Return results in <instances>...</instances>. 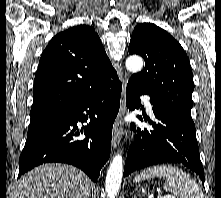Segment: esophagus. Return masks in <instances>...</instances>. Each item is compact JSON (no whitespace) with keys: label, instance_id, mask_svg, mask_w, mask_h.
<instances>
[{"label":"esophagus","instance_id":"obj_1","mask_svg":"<svg viewBox=\"0 0 221 198\" xmlns=\"http://www.w3.org/2000/svg\"><path fill=\"white\" fill-rule=\"evenodd\" d=\"M123 87H122V95H121V105L118 113V119H120L122 116H124L126 112V86H127V80H123ZM123 134V127L121 124L117 123V125L114 128V132L112 135V146L113 148H117L120 144L121 137Z\"/></svg>","mask_w":221,"mask_h":198}]
</instances>
